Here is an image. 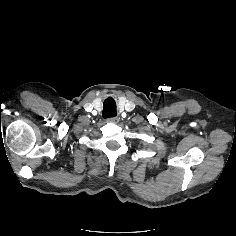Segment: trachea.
<instances>
[{
    "label": "trachea",
    "instance_id": "1",
    "mask_svg": "<svg viewBox=\"0 0 236 236\" xmlns=\"http://www.w3.org/2000/svg\"><path fill=\"white\" fill-rule=\"evenodd\" d=\"M117 115L116 113V103L115 100L111 97H108L103 103V118H112Z\"/></svg>",
    "mask_w": 236,
    "mask_h": 236
}]
</instances>
